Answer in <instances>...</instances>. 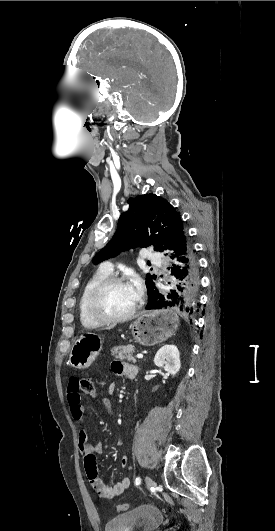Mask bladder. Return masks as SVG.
I'll use <instances>...</instances> for the list:
<instances>
[{"mask_svg": "<svg viewBox=\"0 0 275 531\" xmlns=\"http://www.w3.org/2000/svg\"><path fill=\"white\" fill-rule=\"evenodd\" d=\"M164 513L149 504L114 516L105 522V531H157L163 524Z\"/></svg>", "mask_w": 275, "mask_h": 531, "instance_id": "bladder-1", "label": "bladder"}]
</instances>
